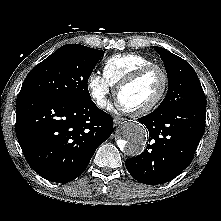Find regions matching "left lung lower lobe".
Returning <instances> with one entry per match:
<instances>
[{
	"label": "left lung lower lobe",
	"mask_w": 221,
	"mask_h": 221,
	"mask_svg": "<svg viewBox=\"0 0 221 221\" xmlns=\"http://www.w3.org/2000/svg\"><path fill=\"white\" fill-rule=\"evenodd\" d=\"M206 105L156 109L139 118L149 130V144L139 156L127 159L128 172L139 182H168L187 168L205 131Z\"/></svg>",
	"instance_id": "0a47b994"
}]
</instances>
